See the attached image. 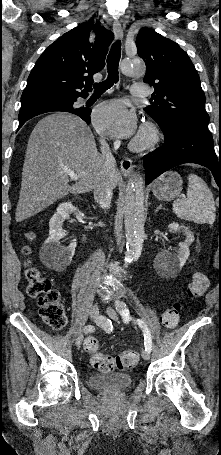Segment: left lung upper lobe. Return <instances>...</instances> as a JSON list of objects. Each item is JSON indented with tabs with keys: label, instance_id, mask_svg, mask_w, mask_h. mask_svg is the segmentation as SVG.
Listing matches in <instances>:
<instances>
[{
	"label": "left lung upper lobe",
	"instance_id": "5c2ea615",
	"mask_svg": "<svg viewBox=\"0 0 221 455\" xmlns=\"http://www.w3.org/2000/svg\"><path fill=\"white\" fill-rule=\"evenodd\" d=\"M137 53L145 61L144 82L154 86V102L144 110L165 135L184 124L208 128L205 95L199 75L179 45L153 29H142L136 39Z\"/></svg>",
	"mask_w": 221,
	"mask_h": 455
}]
</instances>
